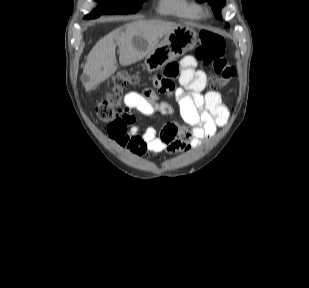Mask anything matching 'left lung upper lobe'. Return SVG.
I'll return each mask as SVG.
<instances>
[{"label":"left lung upper lobe","mask_w":309,"mask_h":288,"mask_svg":"<svg viewBox=\"0 0 309 288\" xmlns=\"http://www.w3.org/2000/svg\"><path fill=\"white\" fill-rule=\"evenodd\" d=\"M197 1H207L211 6L217 18H220L221 8L225 4V0H197ZM228 27V25L226 26Z\"/></svg>","instance_id":"left-lung-upper-lobe-1"}]
</instances>
